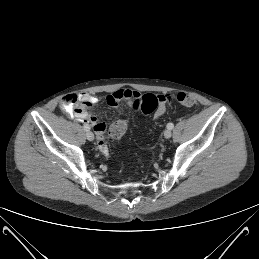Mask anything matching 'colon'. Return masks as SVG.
Listing matches in <instances>:
<instances>
[{"instance_id":"1","label":"colon","mask_w":259,"mask_h":259,"mask_svg":"<svg viewBox=\"0 0 259 259\" xmlns=\"http://www.w3.org/2000/svg\"><path fill=\"white\" fill-rule=\"evenodd\" d=\"M176 100L183 106L193 107L197 104L196 99L186 93H179L176 96ZM159 104V99L153 94L139 95L133 102L135 110L139 114H150L152 113ZM127 129V122L125 120H120L113 123L109 129V135L113 140H118L123 136Z\"/></svg>"}]
</instances>
